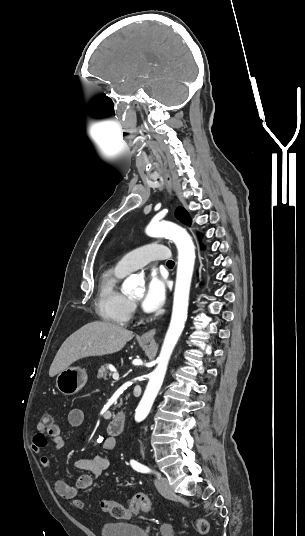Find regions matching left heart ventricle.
Listing matches in <instances>:
<instances>
[{"label": "left heart ventricle", "mask_w": 305, "mask_h": 536, "mask_svg": "<svg viewBox=\"0 0 305 536\" xmlns=\"http://www.w3.org/2000/svg\"><path fill=\"white\" fill-rule=\"evenodd\" d=\"M141 295H142V294H141ZM141 295H139V296H137V297H134V298H132V299H133L134 301H137V300H139V299L141 298Z\"/></svg>", "instance_id": "1"}]
</instances>
